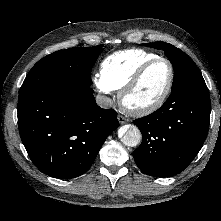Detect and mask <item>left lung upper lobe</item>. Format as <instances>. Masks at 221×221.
Instances as JSON below:
<instances>
[{
    "label": "left lung upper lobe",
    "instance_id": "5c2ea615",
    "mask_svg": "<svg viewBox=\"0 0 221 221\" xmlns=\"http://www.w3.org/2000/svg\"><path fill=\"white\" fill-rule=\"evenodd\" d=\"M144 46L162 49L174 68L171 92L184 88L206 87L201 72L194 61L182 50L165 42L144 43Z\"/></svg>",
    "mask_w": 221,
    "mask_h": 221
}]
</instances>
